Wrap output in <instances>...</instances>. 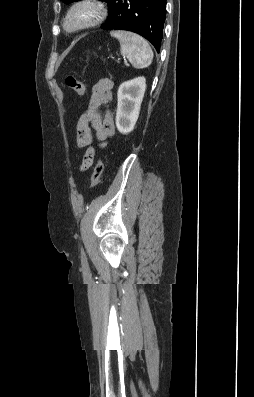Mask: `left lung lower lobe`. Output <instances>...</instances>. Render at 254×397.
<instances>
[{
	"mask_svg": "<svg viewBox=\"0 0 254 397\" xmlns=\"http://www.w3.org/2000/svg\"><path fill=\"white\" fill-rule=\"evenodd\" d=\"M102 29H122L140 34L160 51L166 0H112Z\"/></svg>",
	"mask_w": 254,
	"mask_h": 397,
	"instance_id": "obj_1",
	"label": "left lung lower lobe"
}]
</instances>
